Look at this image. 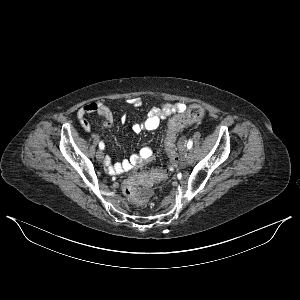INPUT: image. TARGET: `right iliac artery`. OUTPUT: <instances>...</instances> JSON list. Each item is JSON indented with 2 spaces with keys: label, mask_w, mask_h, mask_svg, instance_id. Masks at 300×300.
I'll return each mask as SVG.
<instances>
[{
  "label": "right iliac artery",
  "mask_w": 300,
  "mask_h": 300,
  "mask_svg": "<svg viewBox=\"0 0 300 300\" xmlns=\"http://www.w3.org/2000/svg\"><path fill=\"white\" fill-rule=\"evenodd\" d=\"M104 147H105L104 143H103V142H100V143H99V148H100L101 150H103Z\"/></svg>",
  "instance_id": "obj_1"
}]
</instances>
